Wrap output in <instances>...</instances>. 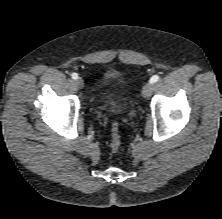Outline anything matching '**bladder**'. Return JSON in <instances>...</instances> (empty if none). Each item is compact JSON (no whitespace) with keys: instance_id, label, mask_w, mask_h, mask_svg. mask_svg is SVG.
I'll list each match as a JSON object with an SVG mask.
<instances>
[{"instance_id":"obj_1","label":"bladder","mask_w":222,"mask_h":219,"mask_svg":"<svg viewBox=\"0 0 222 219\" xmlns=\"http://www.w3.org/2000/svg\"><path fill=\"white\" fill-rule=\"evenodd\" d=\"M115 75H116V73L113 70H107L103 73L102 78L104 80H107V79L114 77Z\"/></svg>"}]
</instances>
